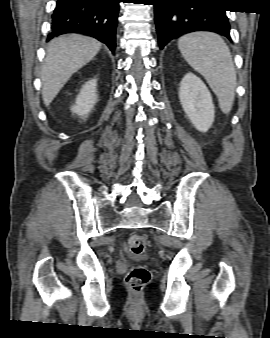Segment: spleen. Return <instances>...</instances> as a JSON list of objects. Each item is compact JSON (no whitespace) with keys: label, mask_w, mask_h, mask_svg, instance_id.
<instances>
[{"label":"spleen","mask_w":270,"mask_h":338,"mask_svg":"<svg viewBox=\"0 0 270 338\" xmlns=\"http://www.w3.org/2000/svg\"><path fill=\"white\" fill-rule=\"evenodd\" d=\"M178 48L187 63L200 73L228 114L235 98L236 71L229 47L217 34L193 32L182 36Z\"/></svg>","instance_id":"1"}]
</instances>
